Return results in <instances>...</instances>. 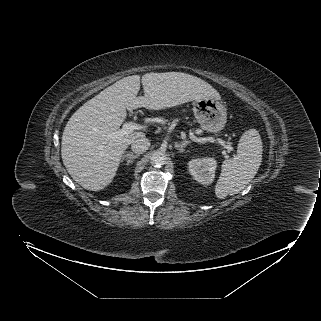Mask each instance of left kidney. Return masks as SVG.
<instances>
[{"label": "left kidney", "mask_w": 321, "mask_h": 321, "mask_svg": "<svg viewBox=\"0 0 321 321\" xmlns=\"http://www.w3.org/2000/svg\"><path fill=\"white\" fill-rule=\"evenodd\" d=\"M217 162L214 158L193 159L188 169L193 178L201 184H211L215 177Z\"/></svg>", "instance_id": "left-kidney-1"}]
</instances>
